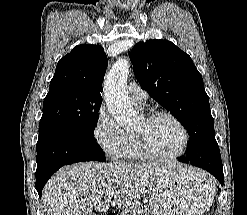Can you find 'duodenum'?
Listing matches in <instances>:
<instances>
[{
	"mask_svg": "<svg viewBox=\"0 0 247 215\" xmlns=\"http://www.w3.org/2000/svg\"><path fill=\"white\" fill-rule=\"evenodd\" d=\"M106 215H117L116 213H108Z\"/></svg>",
	"mask_w": 247,
	"mask_h": 215,
	"instance_id": "obj_1",
	"label": "duodenum"
}]
</instances>
